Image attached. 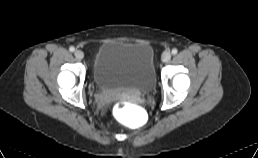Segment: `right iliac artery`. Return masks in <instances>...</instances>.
<instances>
[{"mask_svg": "<svg viewBox=\"0 0 258 158\" xmlns=\"http://www.w3.org/2000/svg\"><path fill=\"white\" fill-rule=\"evenodd\" d=\"M69 51H70V52H74V51H75V48H74L73 46H71V47L69 48Z\"/></svg>", "mask_w": 258, "mask_h": 158, "instance_id": "82829eb1", "label": "right iliac artery"}]
</instances>
